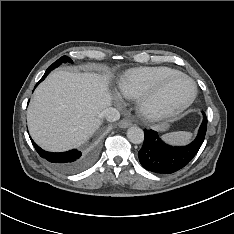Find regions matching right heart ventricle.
Segmentation results:
<instances>
[{
    "mask_svg": "<svg viewBox=\"0 0 234 234\" xmlns=\"http://www.w3.org/2000/svg\"><path fill=\"white\" fill-rule=\"evenodd\" d=\"M178 72L175 69L163 66L133 68L126 71L122 76L119 82V90L125 98L137 99L166 77Z\"/></svg>",
    "mask_w": 234,
    "mask_h": 234,
    "instance_id": "e07e8e85",
    "label": "right heart ventricle"
}]
</instances>
